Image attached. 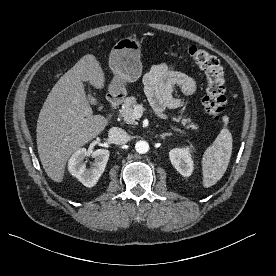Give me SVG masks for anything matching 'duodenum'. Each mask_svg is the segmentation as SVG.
<instances>
[{
	"instance_id": "410a0bca",
	"label": "duodenum",
	"mask_w": 276,
	"mask_h": 276,
	"mask_svg": "<svg viewBox=\"0 0 276 276\" xmlns=\"http://www.w3.org/2000/svg\"><path fill=\"white\" fill-rule=\"evenodd\" d=\"M108 102L110 105V112L107 115L108 119H111L114 110L123 102V96L120 94H111L108 97Z\"/></svg>"
}]
</instances>
